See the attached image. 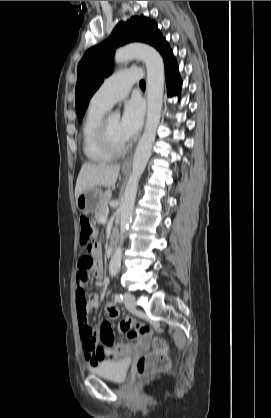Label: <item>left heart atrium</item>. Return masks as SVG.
Segmentation results:
<instances>
[{
  "mask_svg": "<svg viewBox=\"0 0 271 418\" xmlns=\"http://www.w3.org/2000/svg\"><path fill=\"white\" fill-rule=\"evenodd\" d=\"M144 108L142 103L133 99L126 103L120 120V131L125 141L133 138L143 123Z\"/></svg>",
  "mask_w": 271,
  "mask_h": 418,
  "instance_id": "obj_1",
  "label": "left heart atrium"
}]
</instances>
